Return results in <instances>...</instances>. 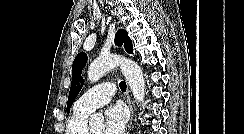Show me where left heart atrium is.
<instances>
[{
    "mask_svg": "<svg viewBox=\"0 0 244 134\" xmlns=\"http://www.w3.org/2000/svg\"><path fill=\"white\" fill-rule=\"evenodd\" d=\"M104 134H125L128 113L122 105L111 106L105 112Z\"/></svg>",
    "mask_w": 244,
    "mask_h": 134,
    "instance_id": "obj_1",
    "label": "left heart atrium"
}]
</instances>
